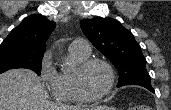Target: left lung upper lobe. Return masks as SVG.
Returning <instances> with one entry per match:
<instances>
[{
    "label": "left lung upper lobe",
    "instance_id": "left-lung-upper-lobe-1",
    "mask_svg": "<svg viewBox=\"0 0 171 110\" xmlns=\"http://www.w3.org/2000/svg\"><path fill=\"white\" fill-rule=\"evenodd\" d=\"M80 25L94 47L118 69L120 76L117 87L130 84L145 88L151 86L145 57L129 30L112 18L85 19Z\"/></svg>",
    "mask_w": 171,
    "mask_h": 110
}]
</instances>
